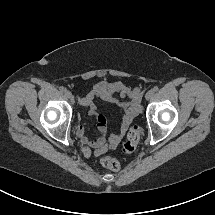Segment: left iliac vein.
Wrapping results in <instances>:
<instances>
[{
  "label": "left iliac vein",
  "mask_w": 215,
  "mask_h": 215,
  "mask_svg": "<svg viewBox=\"0 0 215 215\" xmlns=\"http://www.w3.org/2000/svg\"><path fill=\"white\" fill-rule=\"evenodd\" d=\"M153 96V91L152 90H150V91H148L147 93H146V99H150L151 97Z\"/></svg>",
  "instance_id": "4c4485c4"
}]
</instances>
